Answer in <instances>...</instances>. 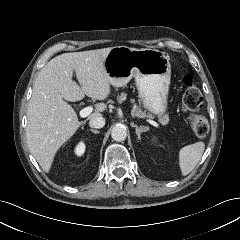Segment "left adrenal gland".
<instances>
[{
  "mask_svg": "<svg viewBox=\"0 0 240 240\" xmlns=\"http://www.w3.org/2000/svg\"><path fill=\"white\" fill-rule=\"evenodd\" d=\"M131 126L136 128V135H137L138 139L141 138V133L142 132H146L148 130V127H145V126H140L139 127L138 125H136L134 123H131Z\"/></svg>",
  "mask_w": 240,
  "mask_h": 240,
  "instance_id": "a2214340",
  "label": "left adrenal gland"
}]
</instances>
